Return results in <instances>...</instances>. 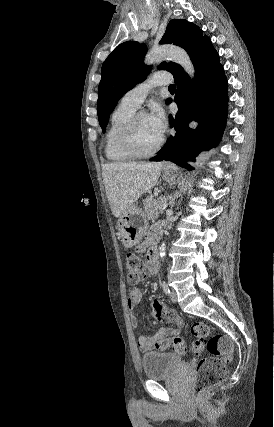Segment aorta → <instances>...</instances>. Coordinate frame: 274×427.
I'll list each match as a JSON object with an SVG mask.
<instances>
[{"label": "aorta", "mask_w": 274, "mask_h": 427, "mask_svg": "<svg viewBox=\"0 0 274 427\" xmlns=\"http://www.w3.org/2000/svg\"><path fill=\"white\" fill-rule=\"evenodd\" d=\"M165 59H171L173 62L179 64L182 66V68L185 70V72L190 76V78H194L195 75V69L194 66L190 60L189 55L187 52L176 46H160L154 49H151L146 57H145V64L152 65L158 62H161ZM197 123L192 121L190 123L191 128H196ZM165 244H162L160 246V255L161 257L165 256Z\"/></svg>", "instance_id": "aorta-1"}]
</instances>
